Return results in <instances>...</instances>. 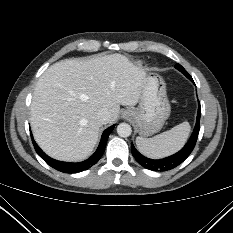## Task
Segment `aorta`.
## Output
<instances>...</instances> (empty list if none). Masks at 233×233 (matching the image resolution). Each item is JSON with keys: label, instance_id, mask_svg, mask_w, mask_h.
<instances>
[{"label": "aorta", "instance_id": "762f6f07", "mask_svg": "<svg viewBox=\"0 0 233 233\" xmlns=\"http://www.w3.org/2000/svg\"><path fill=\"white\" fill-rule=\"evenodd\" d=\"M117 133L120 137H128L132 133V128L127 123H120L117 126Z\"/></svg>", "mask_w": 233, "mask_h": 233}]
</instances>
